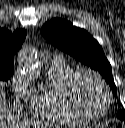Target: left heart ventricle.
<instances>
[{
    "label": "left heart ventricle",
    "instance_id": "b2bd125f",
    "mask_svg": "<svg viewBox=\"0 0 125 128\" xmlns=\"http://www.w3.org/2000/svg\"><path fill=\"white\" fill-rule=\"evenodd\" d=\"M82 106L91 113H99L105 105V97L98 85L91 79L80 81L76 89Z\"/></svg>",
    "mask_w": 125,
    "mask_h": 128
}]
</instances>
